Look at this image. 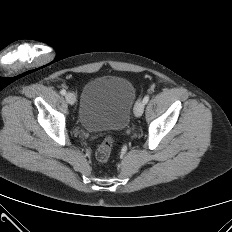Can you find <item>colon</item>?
Listing matches in <instances>:
<instances>
[{"label":"colon","instance_id":"1","mask_svg":"<svg viewBox=\"0 0 232 232\" xmlns=\"http://www.w3.org/2000/svg\"><path fill=\"white\" fill-rule=\"evenodd\" d=\"M113 148V139L105 138L96 149V158L98 161L105 162L109 159Z\"/></svg>","mask_w":232,"mask_h":232}]
</instances>
